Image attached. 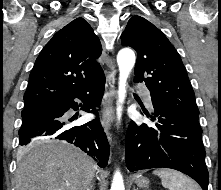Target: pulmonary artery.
I'll return each mask as SVG.
<instances>
[{"label": "pulmonary artery", "instance_id": "obj_1", "mask_svg": "<svg viewBox=\"0 0 221 190\" xmlns=\"http://www.w3.org/2000/svg\"><path fill=\"white\" fill-rule=\"evenodd\" d=\"M144 98H145V100L149 103V104H151V96H150V93L149 92H145L144 93Z\"/></svg>", "mask_w": 221, "mask_h": 190}]
</instances>
